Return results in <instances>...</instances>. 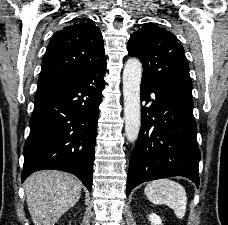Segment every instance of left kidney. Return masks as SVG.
<instances>
[{"instance_id": "1", "label": "left kidney", "mask_w": 228, "mask_h": 225, "mask_svg": "<svg viewBox=\"0 0 228 225\" xmlns=\"http://www.w3.org/2000/svg\"><path fill=\"white\" fill-rule=\"evenodd\" d=\"M149 221H151L152 225H162L160 217H158V215H155V213L149 215Z\"/></svg>"}]
</instances>
